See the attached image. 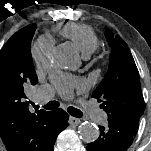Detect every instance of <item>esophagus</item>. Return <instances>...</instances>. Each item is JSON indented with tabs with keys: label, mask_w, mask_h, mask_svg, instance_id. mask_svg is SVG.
<instances>
[{
	"label": "esophagus",
	"mask_w": 151,
	"mask_h": 151,
	"mask_svg": "<svg viewBox=\"0 0 151 151\" xmlns=\"http://www.w3.org/2000/svg\"><path fill=\"white\" fill-rule=\"evenodd\" d=\"M80 122H81V121H80L79 118H75V117H72V116L69 117V124H75V125H77V124H79Z\"/></svg>",
	"instance_id": "esophagus-1"
}]
</instances>
